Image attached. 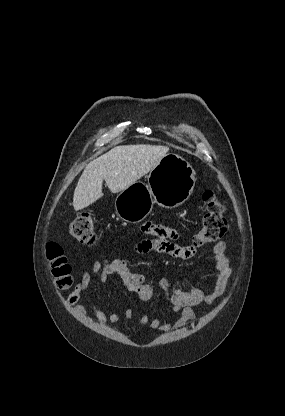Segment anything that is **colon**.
<instances>
[{
  "label": "colon",
  "mask_w": 285,
  "mask_h": 416,
  "mask_svg": "<svg viewBox=\"0 0 285 416\" xmlns=\"http://www.w3.org/2000/svg\"><path fill=\"white\" fill-rule=\"evenodd\" d=\"M206 205V211L202 220V227L194 236L195 246H204L208 243L220 240L227 230L225 219V206L218 195L211 189H206L202 194ZM69 234L86 245L96 242L94 219L91 214L83 213L73 219L68 226ZM47 256L52 264V273L60 287L71 285V267L63 254L62 248L56 243H49L46 247Z\"/></svg>",
  "instance_id": "5ec220e1"
}]
</instances>
